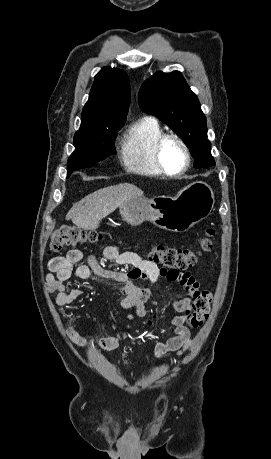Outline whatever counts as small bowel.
Segmentation results:
<instances>
[{
  "instance_id": "c3829d8e",
  "label": "small bowel",
  "mask_w": 271,
  "mask_h": 459,
  "mask_svg": "<svg viewBox=\"0 0 271 459\" xmlns=\"http://www.w3.org/2000/svg\"><path fill=\"white\" fill-rule=\"evenodd\" d=\"M102 258L105 261H114L119 265H131L134 268L129 272H116L104 268L97 257L90 255L85 257L78 249L70 250L65 256L53 258L49 264V274L46 277L47 289L49 292L57 293L56 303L64 306L78 300L84 293L80 288L66 291L64 282L73 273L84 280L90 279L93 275L104 279H110L117 283L123 295L121 307L127 313L128 321L135 315L145 316L144 303L149 296V290L135 284L136 280H146L150 284L155 283L159 277L170 282H178L186 292V297L172 300V307L178 312L185 314L175 316L171 319L170 326L175 336L165 343H159L154 349L156 357L166 359L171 355L182 356L189 348L192 335L190 329L184 324L186 313L192 309L193 303L200 293V284L195 277L187 271H169L158 266L149 260L143 259L138 253L126 251L120 252L116 245H109L104 248ZM127 323L117 332L115 336L99 340H88L80 336L74 329H68L70 339L80 347L89 346L94 349L110 351L118 347L130 330Z\"/></svg>"
}]
</instances>
